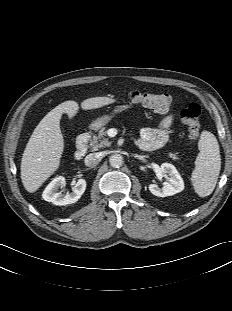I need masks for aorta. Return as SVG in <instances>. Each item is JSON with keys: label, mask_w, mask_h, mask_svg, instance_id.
<instances>
[{"label": "aorta", "mask_w": 232, "mask_h": 311, "mask_svg": "<svg viewBox=\"0 0 232 311\" xmlns=\"http://www.w3.org/2000/svg\"><path fill=\"white\" fill-rule=\"evenodd\" d=\"M123 157L120 154L111 155L109 158V163L114 168H119L123 165Z\"/></svg>", "instance_id": "aorta-1"}]
</instances>
